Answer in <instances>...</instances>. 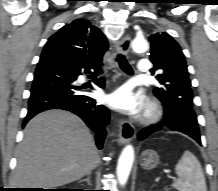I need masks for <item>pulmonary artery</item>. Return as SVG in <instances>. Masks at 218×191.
Here are the masks:
<instances>
[{
    "label": "pulmonary artery",
    "instance_id": "e3ab8cb5",
    "mask_svg": "<svg viewBox=\"0 0 218 191\" xmlns=\"http://www.w3.org/2000/svg\"><path fill=\"white\" fill-rule=\"evenodd\" d=\"M149 66H150V61L149 60H141L139 61L138 65H137V71L136 74L137 75H142L148 72L149 70Z\"/></svg>",
    "mask_w": 218,
    "mask_h": 191
}]
</instances>
